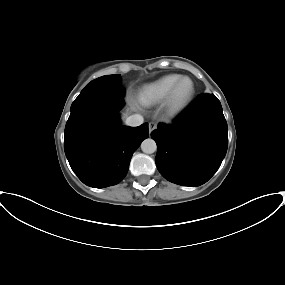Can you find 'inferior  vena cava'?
I'll use <instances>...</instances> for the list:
<instances>
[{
	"label": "inferior vena cava",
	"mask_w": 285,
	"mask_h": 285,
	"mask_svg": "<svg viewBox=\"0 0 285 285\" xmlns=\"http://www.w3.org/2000/svg\"><path fill=\"white\" fill-rule=\"evenodd\" d=\"M144 119L141 115L139 114H134V115H131L129 116L125 123L126 125L128 126H131V127H136V126H139L143 123Z\"/></svg>",
	"instance_id": "obj_1"
}]
</instances>
